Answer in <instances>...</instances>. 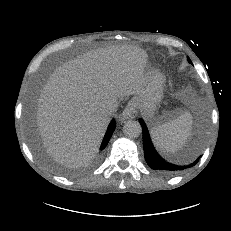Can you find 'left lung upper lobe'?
<instances>
[{"mask_svg": "<svg viewBox=\"0 0 231 231\" xmlns=\"http://www.w3.org/2000/svg\"><path fill=\"white\" fill-rule=\"evenodd\" d=\"M188 61L191 63V60L188 58Z\"/></svg>", "mask_w": 231, "mask_h": 231, "instance_id": "left-lung-upper-lobe-1", "label": "left lung upper lobe"}]
</instances>
